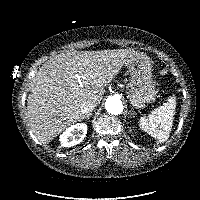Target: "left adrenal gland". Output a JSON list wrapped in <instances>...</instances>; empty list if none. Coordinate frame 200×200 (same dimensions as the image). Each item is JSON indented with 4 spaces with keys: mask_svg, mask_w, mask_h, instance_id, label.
Wrapping results in <instances>:
<instances>
[{
    "mask_svg": "<svg viewBox=\"0 0 200 200\" xmlns=\"http://www.w3.org/2000/svg\"><path fill=\"white\" fill-rule=\"evenodd\" d=\"M132 112H130V117H134L133 115L135 114V112L131 109Z\"/></svg>",
    "mask_w": 200,
    "mask_h": 200,
    "instance_id": "obj_1",
    "label": "left adrenal gland"
}]
</instances>
